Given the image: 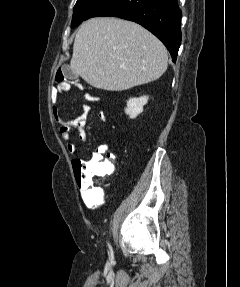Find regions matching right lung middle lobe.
<instances>
[{
    "label": "right lung middle lobe",
    "instance_id": "obj_1",
    "mask_svg": "<svg viewBox=\"0 0 240 287\" xmlns=\"http://www.w3.org/2000/svg\"><path fill=\"white\" fill-rule=\"evenodd\" d=\"M106 1L107 0H77L74 6L71 27H76L82 21L93 17Z\"/></svg>",
    "mask_w": 240,
    "mask_h": 287
}]
</instances>
